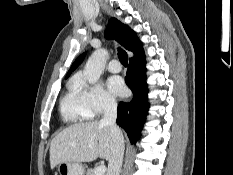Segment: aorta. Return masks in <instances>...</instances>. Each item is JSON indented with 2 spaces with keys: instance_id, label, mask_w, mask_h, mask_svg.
<instances>
[{
  "instance_id": "762f6f07",
  "label": "aorta",
  "mask_w": 233,
  "mask_h": 175,
  "mask_svg": "<svg viewBox=\"0 0 233 175\" xmlns=\"http://www.w3.org/2000/svg\"><path fill=\"white\" fill-rule=\"evenodd\" d=\"M107 57L108 52L106 49H98L94 51L89 57L85 65L83 75L90 84H94L99 80L104 69Z\"/></svg>"
}]
</instances>
